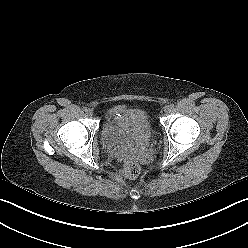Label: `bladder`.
I'll use <instances>...</instances> for the list:
<instances>
[{
  "instance_id": "31cf9c89",
  "label": "bladder",
  "mask_w": 248,
  "mask_h": 248,
  "mask_svg": "<svg viewBox=\"0 0 248 248\" xmlns=\"http://www.w3.org/2000/svg\"><path fill=\"white\" fill-rule=\"evenodd\" d=\"M151 114L142 107H116L105 116L101 142L107 148H116L132 137L150 140L154 135Z\"/></svg>"
}]
</instances>
